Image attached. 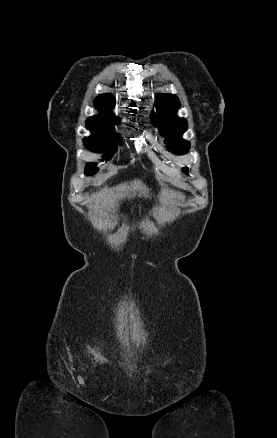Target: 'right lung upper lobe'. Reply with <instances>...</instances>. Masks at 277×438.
Masks as SVG:
<instances>
[{
	"mask_svg": "<svg viewBox=\"0 0 277 438\" xmlns=\"http://www.w3.org/2000/svg\"><path fill=\"white\" fill-rule=\"evenodd\" d=\"M94 104L99 110H102V113L88 118L86 121L87 127H106L119 123V119L109 111L115 105V98L112 95L102 94L95 99ZM132 112H135V110H132Z\"/></svg>",
	"mask_w": 277,
	"mask_h": 438,
	"instance_id": "cb5924a9",
	"label": "right lung upper lobe"
}]
</instances>
